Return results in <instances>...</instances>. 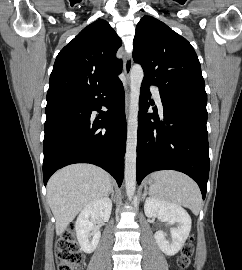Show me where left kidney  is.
<instances>
[{
    "label": "left kidney",
    "instance_id": "left-kidney-1",
    "mask_svg": "<svg viewBox=\"0 0 242 270\" xmlns=\"http://www.w3.org/2000/svg\"><path fill=\"white\" fill-rule=\"evenodd\" d=\"M145 215L148 217H157L168 225L177 224L170 230L171 240L167 239V234L163 231H157L154 235L155 240L161 251L173 256L184 245L191 230V218L187 211L179 205L163 202L149 197L144 204Z\"/></svg>",
    "mask_w": 242,
    "mask_h": 270
}]
</instances>
